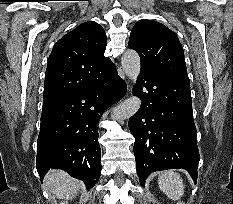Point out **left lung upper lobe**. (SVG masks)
<instances>
[{
	"instance_id": "1",
	"label": "left lung upper lobe",
	"mask_w": 233,
	"mask_h": 204,
	"mask_svg": "<svg viewBox=\"0 0 233 204\" xmlns=\"http://www.w3.org/2000/svg\"><path fill=\"white\" fill-rule=\"evenodd\" d=\"M128 47L138 52L141 69L189 83L179 39L163 24L147 19L138 21L131 31Z\"/></svg>"
}]
</instances>
